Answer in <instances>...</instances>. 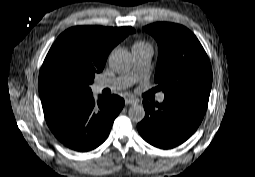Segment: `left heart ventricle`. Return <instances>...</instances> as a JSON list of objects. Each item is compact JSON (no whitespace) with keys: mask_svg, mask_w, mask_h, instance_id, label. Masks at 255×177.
I'll list each match as a JSON object with an SVG mask.
<instances>
[{"mask_svg":"<svg viewBox=\"0 0 255 177\" xmlns=\"http://www.w3.org/2000/svg\"><path fill=\"white\" fill-rule=\"evenodd\" d=\"M138 77V74L136 72H134L131 76V79L135 80Z\"/></svg>","mask_w":255,"mask_h":177,"instance_id":"obj_1","label":"left heart ventricle"}]
</instances>
